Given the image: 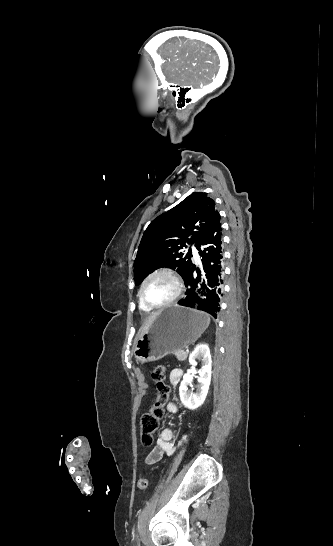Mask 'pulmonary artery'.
I'll return each mask as SVG.
<instances>
[{
	"mask_svg": "<svg viewBox=\"0 0 333 546\" xmlns=\"http://www.w3.org/2000/svg\"><path fill=\"white\" fill-rule=\"evenodd\" d=\"M192 253H193V256H194L195 259L199 258L198 251L194 246H192Z\"/></svg>",
	"mask_w": 333,
	"mask_h": 546,
	"instance_id": "1",
	"label": "pulmonary artery"
}]
</instances>
